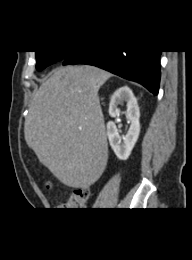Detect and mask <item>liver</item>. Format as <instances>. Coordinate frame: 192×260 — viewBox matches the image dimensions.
<instances>
[{"label": "liver", "mask_w": 192, "mask_h": 260, "mask_svg": "<svg viewBox=\"0 0 192 260\" xmlns=\"http://www.w3.org/2000/svg\"><path fill=\"white\" fill-rule=\"evenodd\" d=\"M111 73L91 65L57 69L40 86L25 119V141L64 185L88 188L108 160L99 88Z\"/></svg>", "instance_id": "liver-1"}]
</instances>
